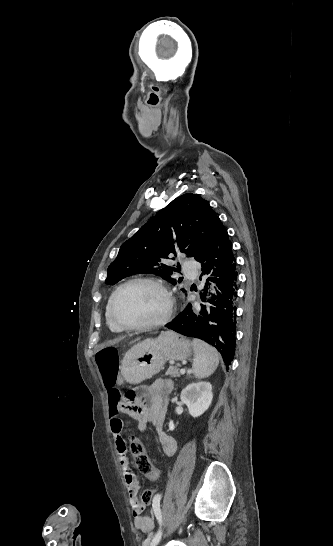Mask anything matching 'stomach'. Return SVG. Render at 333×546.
<instances>
[{
    "label": "stomach",
    "mask_w": 333,
    "mask_h": 546,
    "mask_svg": "<svg viewBox=\"0 0 333 546\" xmlns=\"http://www.w3.org/2000/svg\"><path fill=\"white\" fill-rule=\"evenodd\" d=\"M192 353V343L173 331L162 332L157 338H147L129 349L120 362L125 381L139 384L159 373L166 360H185Z\"/></svg>",
    "instance_id": "obj_1"
}]
</instances>
